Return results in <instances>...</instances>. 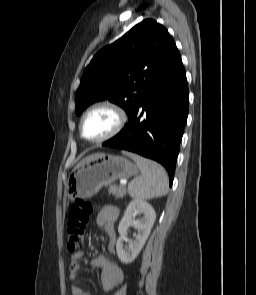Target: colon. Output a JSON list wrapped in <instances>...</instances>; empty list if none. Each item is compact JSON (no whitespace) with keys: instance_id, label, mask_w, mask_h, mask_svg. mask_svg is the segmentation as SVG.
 <instances>
[{"instance_id":"colon-1","label":"colon","mask_w":256,"mask_h":295,"mask_svg":"<svg viewBox=\"0 0 256 295\" xmlns=\"http://www.w3.org/2000/svg\"><path fill=\"white\" fill-rule=\"evenodd\" d=\"M93 210V205L82 198H77L70 206L67 223V251L70 254L80 251L84 231Z\"/></svg>"}]
</instances>
